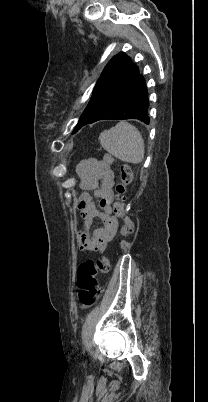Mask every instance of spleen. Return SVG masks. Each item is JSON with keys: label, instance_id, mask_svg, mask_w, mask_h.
Here are the masks:
<instances>
[{"label": "spleen", "instance_id": "spleen-1", "mask_svg": "<svg viewBox=\"0 0 208 402\" xmlns=\"http://www.w3.org/2000/svg\"><path fill=\"white\" fill-rule=\"evenodd\" d=\"M98 140L108 154L128 164H140L144 160V140L137 128L128 122H119L115 128L101 132Z\"/></svg>", "mask_w": 208, "mask_h": 402}]
</instances>
